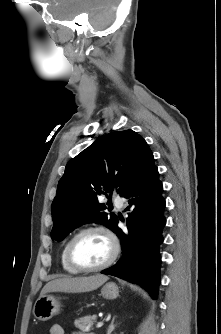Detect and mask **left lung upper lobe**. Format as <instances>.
Returning a JSON list of instances; mask_svg holds the SVG:
<instances>
[{
  "instance_id": "5c2ea615",
  "label": "left lung upper lobe",
  "mask_w": 221,
  "mask_h": 334,
  "mask_svg": "<svg viewBox=\"0 0 221 334\" xmlns=\"http://www.w3.org/2000/svg\"><path fill=\"white\" fill-rule=\"evenodd\" d=\"M152 159L148 144L133 130L106 134L72 158L51 206V238L61 241L87 222L113 230L118 219L104 212L98 199L113 190L123 196Z\"/></svg>"
}]
</instances>
